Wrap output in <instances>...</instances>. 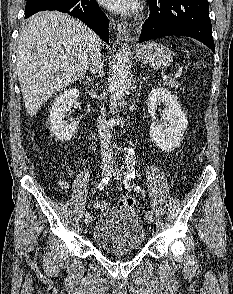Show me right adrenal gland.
Instances as JSON below:
<instances>
[{
	"mask_svg": "<svg viewBox=\"0 0 233 294\" xmlns=\"http://www.w3.org/2000/svg\"><path fill=\"white\" fill-rule=\"evenodd\" d=\"M99 76H101V74H100ZM93 79H94V77H92V76H91V77H90V76H87V80H88V81H91V80H93Z\"/></svg>",
	"mask_w": 233,
	"mask_h": 294,
	"instance_id": "right-adrenal-gland-1",
	"label": "right adrenal gland"
}]
</instances>
